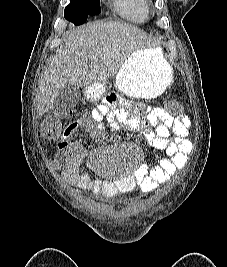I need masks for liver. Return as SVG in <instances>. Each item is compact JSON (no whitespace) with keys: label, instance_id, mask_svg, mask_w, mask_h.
<instances>
[{"label":"liver","instance_id":"1","mask_svg":"<svg viewBox=\"0 0 227 267\" xmlns=\"http://www.w3.org/2000/svg\"><path fill=\"white\" fill-rule=\"evenodd\" d=\"M150 45L137 27L117 21L95 22L68 31L37 90V113L52 108L59 91L66 86L88 87L117 75L135 51Z\"/></svg>","mask_w":227,"mask_h":267}]
</instances>
